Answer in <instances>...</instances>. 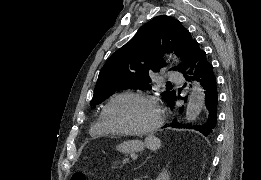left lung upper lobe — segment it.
<instances>
[{
	"mask_svg": "<svg viewBox=\"0 0 261 180\" xmlns=\"http://www.w3.org/2000/svg\"><path fill=\"white\" fill-rule=\"evenodd\" d=\"M196 44L177 19L165 15L155 17L104 64L90 105H98L121 89L150 90V74L165 66L161 53L174 51L181 57L184 64L170 69L181 72ZM175 93L170 89L162 93L167 104Z\"/></svg>",
	"mask_w": 261,
	"mask_h": 180,
	"instance_id": "5c2ea615",
	"label": "left lung upper lobe"
}]
</instances>
